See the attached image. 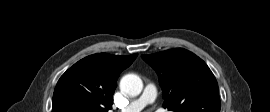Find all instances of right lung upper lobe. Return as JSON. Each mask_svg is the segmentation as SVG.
I'll return each mask as SVG.
<instances>
[{
	"instance_id": "right-lung-upper-lobe-1",
	"label": "right lung upper lobe",
	"mask_w": 270,
	"mask_h": 112,
	"mask_svg": "<svg viewBox=\"0 0 270 112\" xmlns=\"http://www.w3.org/2000/svg\"><path fill=\"white\" fill-rule=\"evenodd\" d=\"M136 57L100 53L81 59L59 79L52 112H108L119 74Z\"/></svg>"
}]
</instances>
